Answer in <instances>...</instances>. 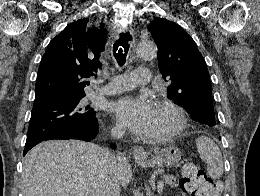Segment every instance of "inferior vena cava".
Segmentation results:
<instances>
[{
  "label": "inferior vena cava",
  "mask_w": 260,
  "mask_h": 196,
  "mask_svg": "<svg viewBox=\"0 0 260 196\" xmlns=\"http://www.w3.org/2000/svg\"><path fill=\"white\" fill-rule=\"evenodd\" d=\"M123 132L122 130H117V132H112L114 138H121ZM105 164H107V176L105 184V196H120V186L117 178L116 164L119 160L118 156L114 154H107L103 156ZM102 196V194H100Z\"/></svg>",
  "instance_id": "inferior-vena-cava-1"
}]
</instances>
